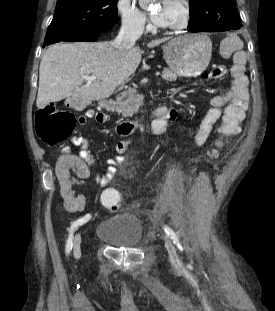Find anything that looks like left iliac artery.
Masks as SVG:
<instances>
[{"label":"left iliac artery","instance_id":"44dca946","mask_svg":"<svg viewBox=\"0 0 275 311\" xmlns=\"http://www.w3.org/2000/svg\"><path fill=\"white\" fill-rule=\"evenodd\" d=\"M164 231L166 232V234L172 239V241L174 242V244H176V246L182 250V246L179 242V239L176 235V233L168 226H164Z\"/></svg>","mask_w":275,"mask_h":311}]
</instances>
